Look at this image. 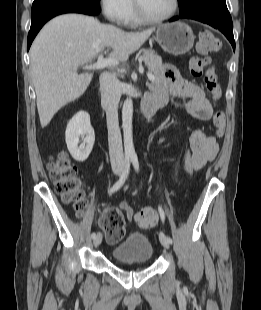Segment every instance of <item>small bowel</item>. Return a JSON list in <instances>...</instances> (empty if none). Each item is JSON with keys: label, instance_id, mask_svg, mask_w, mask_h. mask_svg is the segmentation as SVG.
I'll list each match as a JSON object with an SVG mask.
<instances>
[{"label": "small bowel", "instance_id": "obj_1", "mask_svg": "<svg viewBox=\"0 0 261 310\" xmlns=\"http://www.w3.org/2000/svg\"><path fill=\"white\" fill-rule=\"evenodd\" d=\"M151 95L161 98L164 102L170 96L182 100L186 111L199 120H207L212 115V106L202 87L182 78L171 65L166 64L159 68L158 77L152 84ZM190 147L192 167L200 169L215 158L219 145L215 137H208L200 129H196L190 136ZM119 208L129 221L135 218L134 210L126 201L121 202Z\"/></svg>", "mask_w": 261, "mask_h": 310}]
</instances>
